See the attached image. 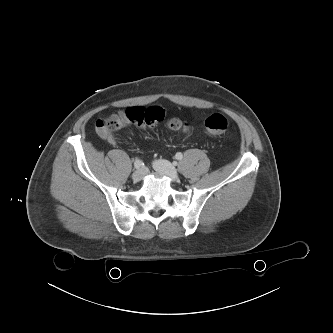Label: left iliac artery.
<instances>
[{
	"label": "left iliac artery",
	"mask_w": 333,
	"mask_h": 333,
	"mask_svg": "<svg viewBox=\"0 0 333 333\" xmlns=\"http://www.w3.org/2000/svg\"><path fill=\"white\" fill-rule=\"evenodd\" d=\"M175 158H176L177 160H182V158H183L182 153H181V152L176 153Z\"/></svg>",
	"instance_id": "obj_1"
}]
</instances>
